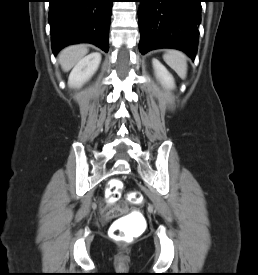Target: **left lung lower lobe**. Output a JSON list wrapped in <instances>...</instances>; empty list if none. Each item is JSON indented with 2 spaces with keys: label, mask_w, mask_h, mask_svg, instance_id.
<instances>
[{
  "label": "left lung lower lobe",
  "mask_w": 258,
  "mask_h": 275,
  "mask_svg": "<svg viewBox=\"0 0 258 275\" xmlns=\"http://www.w3.org/2000/svg\"><path fill=\"white\" fill-rule=\"evenodd\" d=\"M142 54L158 48L184 51L194 59L201 22V0H139Z\"/></svg>",
  "instance_id": "obj_1"
}]
</instances>
